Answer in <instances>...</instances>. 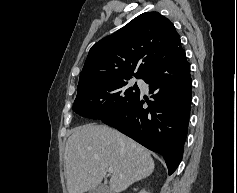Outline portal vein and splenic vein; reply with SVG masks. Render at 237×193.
Listing matches in <instances>:
<instances>
[{
  "instance_id": "18ae733b",
  "label": "portal vein and splenic vein",
  "mask_w": 237,
  "mask_h": 193,
  "mask_svg": "<svg viewBox=\"0 0 237 193\" xmlns=\"http://www.w3.org/2000/svg\"><path fill=\"white\" fill-rule=\"evenodd\" d=\"M107 171H108L109 173H113V168H112V167H109V168L107 169Z\"/></svg>"
}]
</instances>
